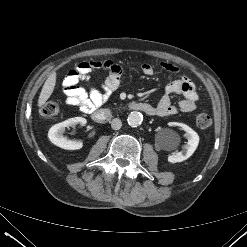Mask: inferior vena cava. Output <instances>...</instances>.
<instances>
[{"instance_id": "obj_1", "label": "inferior vena cava", "mask_w": 247, "mask_h": 247, "mask_svg": "<svg viewBox=\"0 0 247 247\" xmlns=\"http://www.w3.org/2000/svg\"><path fill=\"white\" fill-rule=\"evenodd\" d=\"M122 126V122L120 119L118 118H114L112 121H111V127L112 129L114 130H119Z\"/></svg>"}]
</instances>
